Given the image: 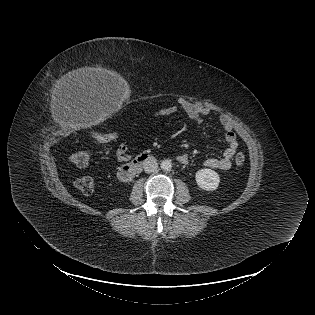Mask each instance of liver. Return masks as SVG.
Wrapping results in <instances>:
<instances>
[{
  "label": "liver",
  "instance_id": "liver-1",
  "mask_svg": "<svg viewBox=\"0 0 315 315\" xmlns=\"http://www.w3.org/2000/svg\"><path fill=\"white\" fill-rule=\"evenodd\" d=\"M124 80L120 74L104 68L83 67L68 72L60 79L61 87H69L87 83L121 84Z\"/></svg>",
  "mask_w": 315,
  "mask_h": 315
}]
</instances>
